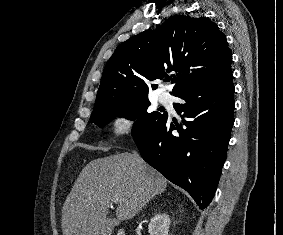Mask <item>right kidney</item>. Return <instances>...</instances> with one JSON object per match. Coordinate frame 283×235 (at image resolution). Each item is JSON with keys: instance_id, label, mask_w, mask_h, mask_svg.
<instances>
[{"instance_id": "right-kidney-1", "label": "right kidney", "mask_w": 283, "mask_h": 235, "mask_svg": "<svg viewBox=\"0 0 283 235\" xmlns=\"http://www.w3.org/2000/svg\"><path fill=\"white\" fill-rule=\"evenodd\" d=\"M170 218L167 214H157L151 218L148 224L150 235H168Z\"/></svg>"}]
</instances>
